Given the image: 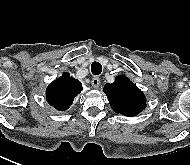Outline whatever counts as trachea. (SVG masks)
<instances>
[{
	"label": "trachea",
	"mask_w": 190,
	"mask_h": 165,
	"mask_svg": "<svg viewBox=\"0 0 190 165\" xmlns=\"http://www.w3.org/2000/svg\"><path fill=\"white\" fill-rule=\"evenodd\" d=\"M91 72L94 75H99L102 72V65L99 62H93L91 65Z\"/></svg>",
	"instance_id": "3493384b"
}]
</instances>
